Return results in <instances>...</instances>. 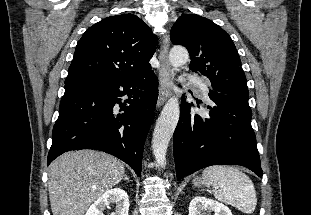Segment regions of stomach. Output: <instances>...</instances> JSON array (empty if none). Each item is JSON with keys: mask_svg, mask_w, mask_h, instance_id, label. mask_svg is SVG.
Here are the masks:
<instances>
[{"mask_svg": "<svg viewBox=\"0 0 311 215\" xmlns=\"http://www.w3.org/2000/svg\"><path fill=\"white\" fill-rule=\"evenodd\" d=\"M193 184L195 185V186H202L203 185V180L201 179V178H198V177H196V178H194V180H193Z\"/></svg>", "mask_w": 311, "mask_h": 215, "instance_id": "1", "label": "stomach"}]
</instances>
